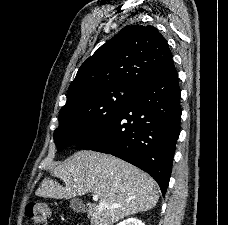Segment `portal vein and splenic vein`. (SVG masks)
Instances as JSON below:
<instances>
[{
    "label": "portal vein and splenic vein",
    "mask_w": 228,
    "mask_h": 225,
    "mask_svg": "<svg viewBox=\"0 0 228 225\" xmlns=\"http://www.w3.org/2000/svg\"><path fill=\"white\" fill-rule=\"evenodd\" d=\"M93 201H99L98 195H92ZM114 207H117V205H112L111 209H114Z\"/></svg>",
    "instance_id": "18ae733b"
}]
</instances>
